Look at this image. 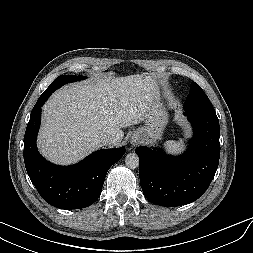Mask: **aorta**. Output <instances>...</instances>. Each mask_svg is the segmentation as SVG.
I'll return each mask as SVG.
<instances>
[{"label": "aorta", "instance_id": "1", "mask_svg": "<svg viewBox=\"0 0 253 253\" xmlns=\"http://www.w3.org/2000/svg\"><path fill=\"white\" fill-rule=\"evenodd\" d=\"M125 164L130 169L137 168L139 166V156L136 153L127 154Z\"/></svg>", "mask_w": 253, "mask_h": 253}]
</instances>
